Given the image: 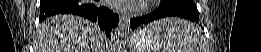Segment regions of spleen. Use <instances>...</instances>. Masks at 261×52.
I'll list each match as a JSON object with an SVG mask.
<instances>
[{
  "mask_svg": "<svg viewBox=\"0 0 261 52\" xmlns=\"http://www.w3.org/2000/svg\"><path fill=\"white\" fill-rule=\"evenodd\" d=\"M147 28L157 33H163L167 42V52H203L199 46L198 28L186 20L177 18L161 19Z\"/></svg>",
  "mask_w": 261,
  "mask_h": 52,
  "instance_id": "3e777b00",
  "label": "spleen"
}]
</instances>
